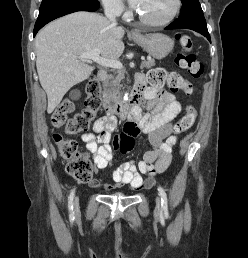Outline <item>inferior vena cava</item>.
<instances>
[{"mask_svg":"<svg viewBox=\"0 0 248 258\" xmlns=\"http://www.w3.org/2000/svg\"><path fill=\"white\" fill-rule=\"evenodd\" d=\"M104 13H105V16L107 17V19L111 22V25L112 26H116L117 23H116V11L112 8V6L110 5H106L105 6V9H104Z\"/></svg>","mask_w":248,"mask_h":258,"instance_id":"obj_1","label":"inferior vena cava"}]
</instances>
